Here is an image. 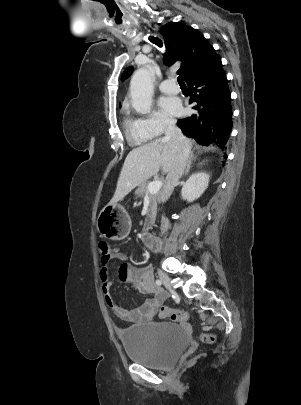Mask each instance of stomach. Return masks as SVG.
Returning a JSON list of instances; mask_svg holds the SVG:
<instances>
[{
  "mask_svg": "<svg viewBox=\"0 0 301 405\" xmlns=\"http://www.w3.org/2000/svg\"><path fill=\"white\" fill-rule=\"evenodd\" d=\"M99 233L111 240L125 239L131 230V219L127 211L119 204L105 206L97 219Z\"/></svg>",
  "mask_w": 301,
  "mask_h": 405,
  "instance_id": "obj_1",
  "label": "stomach"
}]
</instances>
